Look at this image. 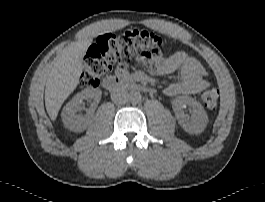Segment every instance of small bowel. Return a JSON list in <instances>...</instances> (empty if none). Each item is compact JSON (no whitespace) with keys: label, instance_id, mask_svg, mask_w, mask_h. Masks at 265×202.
Returning <instances> with one entry per match:
<instances>
[{"label":"small bowel","instance_id":"obj_1","mask_svg":"<svg viewBox=\"0 0 265 202\" xmlns=\"http://www.w3.org/2000/svg\"><path fill=\"white\" fill-rule=\"evenodd\" d=\"M176 70H180V79L165 89L167 96L195 94L208 86V82L204 79L207 74L205 68L196 58L183 51L165 58L158 55L151 68V73L157 76H166Z\"/></svg>","mask_w":265,"mask_h":202}]
</instances>
